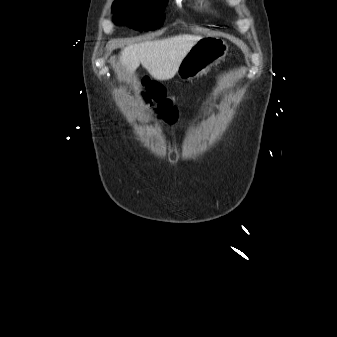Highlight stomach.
<instances>
[{"label":"stomach","instance_id":"obj_1","mask_svg":"<svg viewBox=\"0 0 337 337\" xmlns=\"http://www.w3.org/2000/svg\"><path fill=\"white\" fill-rule=\"evenodd\" d=\"M228 52V45L218 38L199 40L181 61L177 75L182 80H192L206 73Z\"/></svg>","mask_w":337,"mask_h":337}]
</instances>
